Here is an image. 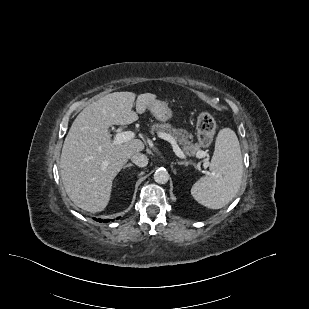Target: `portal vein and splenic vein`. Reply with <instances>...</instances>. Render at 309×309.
<instances>
[{"instance_id": "18ae733b", "label": "portal vein and splenic vein", "mask_w": 309, "mask_h": 309, "mask_svg": "<svg viewBox=\"0 0 309 309\" xmlns=\"http://www.w3.org/2000/svg\"><path fill=\"white\" fill-rule=\"evenodd\" d=\"M134 137H135V133L132 131L119 132L115 135L113 144L114 145L122 144V143L132 140ZM159 137L171 143L173 147V151L179 158H182V159L186 158L184 152L179 148L177 142L174 140V138L171 135L167 133H159ZM206 155H207L206 152L201 150L196 154V157L201 159V158H204ZM203 166L204 168H207L209 166V162H205ZM204 172L208 173V171H204Z\"/></svg>"}]
</instances>
